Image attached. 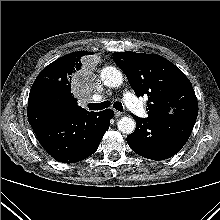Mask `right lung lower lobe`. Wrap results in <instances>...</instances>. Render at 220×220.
Segmentation results:
<instances>
[{"label": "right lung lower lobe", "instance_id": "98d812e1", "mask_svg": "<svg viewBox=\"0 0 220 220\" xmlns=\"http://www.w3.org/2000/svg\"><path fill=\"white\" fill-rule=\"evenodd\" d=\"M27 111L40 144L62 163H75L92 155L114 116L112 110L72 113L50 106H33Z\"/></svg>", "mask_w": 220, "mask_h": 220}]
</instances>
